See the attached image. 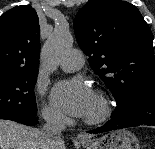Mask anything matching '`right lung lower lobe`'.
I'll return each instance as SVG.
<instances>
[{"mask_svg": "<svg viewBox=\"0 0 155 149\" xmlns=\"http://www.w3.org/2000/svg\"><path fill=\"white\" fill-rule=\"evenodd\" d=\"M0 119H4V118H0ZM25 125H35L38 123L37 118H36V114L32 117H30L26 122H19Z\"/></svg>", "mask_w": 155, "mask_h": 149, "instance_id": "1", "label": "right lung lower lobe"}]
</instances>
